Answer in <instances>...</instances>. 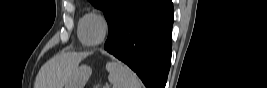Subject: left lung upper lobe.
I'll list each match as a JSON object with an SVG mask.
<instances>
[{"mask_svg": "<svg viewBox=\"0 0 267 88\" xmlns=\"http://www.w3.org/2000/svg\"><path fill=\"white\" fill-rule=\"evenodd\" d=\"M133 0H89L96 8L103 10L108 27L114 24L120 14Z\"/></svg>", "mask_w": 267, "mask_h": 88, "instance_id": "1", "label": "left lung upper lobe"}]
</instances>
